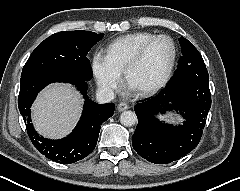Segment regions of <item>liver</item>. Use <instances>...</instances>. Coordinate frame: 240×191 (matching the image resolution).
Listing matches in <instances>:
<instances>
[{"mask_svg":"<svg viewBox=\"0 0 240 191\" xmlns=\"http://www.w3.org/2000/svg\"><path fill=\"white\" fill-rule=\"evenodd\" d=\"M82 109V99L69 85L45 88L32 107L36 130L47 138H62L72 131Z\"/></svg>","mask_w":240,"mask_h":191,"instance_id":"1","label":"liver"}]
</instances>
